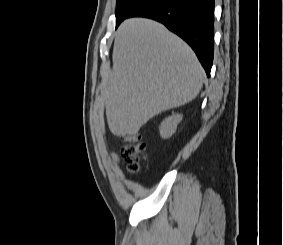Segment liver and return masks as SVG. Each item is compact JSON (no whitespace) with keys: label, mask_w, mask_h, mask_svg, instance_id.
Masks as SVG:
<instances>
[{"label":"liver","mask_w":283,"mask_h":245,"mask_svg":"<svg viewBox=\"0 0 283 245\" xmlns=\"http://www.w3.org/2000/svg\"><path fill=\"white\" fill-rule=\"evenodd\" d=\"M103 96L110 131L136 134L151 118L197 97L204 70L192 49L162 24L125 20L115 33Z\"/></svg>","instance_id":"liver-1"}]
</instances>
